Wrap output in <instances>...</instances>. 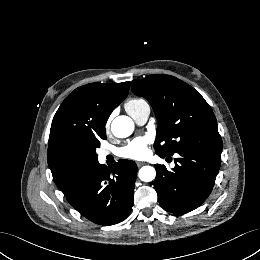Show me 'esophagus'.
I'll return each mask as SVG.
<instances>
[{"label":"esophagus","mask_w":260,"mask_h":260,"mask_svg":"<svg viewBox=\"0 0 260 260\" xmlns=\"http://www.w3.org/2000/svg\"><path fill=\"white\" fill-rule=\"evenodd\" d=\"M136 164H137L138 167H141L142 165L145 164V162H136Z\"/></svg>","instance_id":"obj_1"}]
</instances>
